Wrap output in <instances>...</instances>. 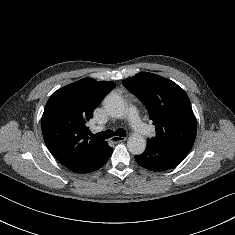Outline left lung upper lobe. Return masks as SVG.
<instances>
[{
    "label": "left lung upper lobe",
    "instance_id": "1",
    "mask_svg": "<svg viewBox=\"0 0 235 235\" xmlns=\"http://www.w3.org/2000/svg\"><path fill=\"white\" fill-rule=\"evenodd\" d=\"M122 83L145 104L156 126V136L147 142L189 153L197 124L184 90L173 81L148 72H140Z\"/></svg>",
    "mask_w": 235,
    "mask_h": 235
}]
</instances>
